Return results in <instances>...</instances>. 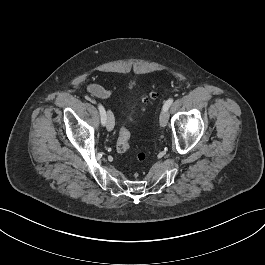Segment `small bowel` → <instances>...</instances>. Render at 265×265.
<instances>
[{"instance_id":"1","label":"small bowel","mask_w":265,"mask_h":265,"mask_svg":"<svg viewBox=\"0 0 265 265\" xmlns=\"http://www.w3.org/2000/svg\"><path fill=\"white\" fill-rule=\"evenodd\" d=\"M88 93L96 98L107 99L114 93L111 89H106L98 84H90L87 86Z\"/></svg>"}]
</instances>
